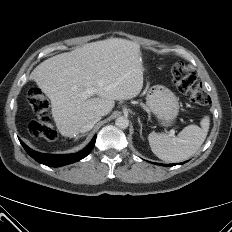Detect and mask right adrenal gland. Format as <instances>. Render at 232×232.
Returning a JSON list of instances; mask_svg holds the SVG:
<instances>
[{"instance_id": "1", "label": "right adrenal gland", "mask_w": 232, "mask_h": 232, "mask_svg": "<svg viewBox=\"0 0 232 232\" xmlns=\"http://www.w3.org/2000/svg\"><path fill=\"white\" fill-rule=\"evenodd\" d=\"M85 135H86V134L78 135V136H76L75 140H77L78 138H81V137H83V136H85Z\"/></svg>"}]
</instances>
